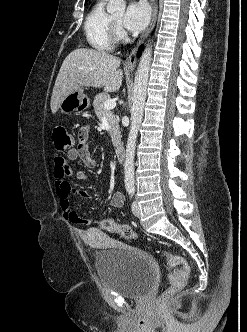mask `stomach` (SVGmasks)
<instances>
[{"instance_id": "stomach-1", "label": "stomach", "mask_w": 247, "mask_h": 332, "mask_svg": "<svg viewBox=\"0 0 247 332\" xmlns=\"http://www.w3.org/2000/svg\"><path fill=\"white\" fill-rule=\"evenodd\" d=\"M90 102L84 93L83 88L78 89L70 94H68L60 103L59 109L61 113L73 114L79 113L80 111L86 109Z\"/></svg>"}]
</instances>
